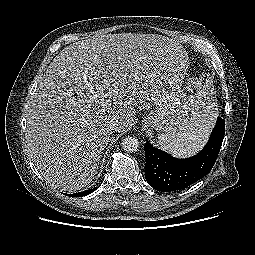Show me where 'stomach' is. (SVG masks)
Wrapping results in <instances>:
<instances>
[{
  "instance_id": "obj_1",
  "label": "stomach",
  "mask_w": 255,
  "mask_h": 255,
  "mask_svg": "<svg viewBox=\"0 0 255 255\" xmlns=\"http://www.w3.org/2000/svg\"><path fill=\"white\" fill-rule=\"evenodd\" d=\"M183 80L168 86L161 102L156 109L143 119L145 126L168 134L187 131L191 127V120L187 113L188 102L183 98Z\"/></svg>"
}]
</instances>
